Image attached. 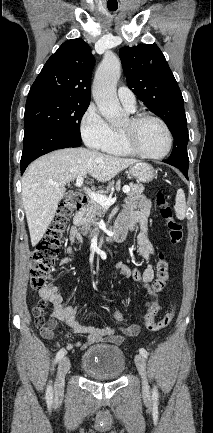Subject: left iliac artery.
Masks as SVG:
<instances>
[{
	"label": "left iliac artery",
	"mask_w": 213,
	"mask_h": 433,
	"mask_svg": "<svg viewBox=\"0 0 213 433\" xmlns=\"http://www.w3.org/2000/svg\"><path fill=\"white\" fill-rule=\"evenodd\" d=\"M139 353H140L144 358H147V357H148V352H147L144 348H140V349H139ZM152 397H153V399H155V400L158 399V390H157L156 387H154V389H153Z\"/></svg>",
	"instance_id": "44dca946"
}]
</instances>
